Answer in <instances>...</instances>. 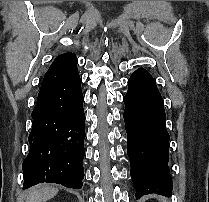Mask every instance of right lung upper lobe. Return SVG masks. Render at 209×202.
I'll return each instance as SVG.
<instances>
[{"mask_svg": "<svg viewBox=\"0 0 209 202\" xmlns=\"http://www.w3.org/2000/svg\"><path fill=\"white\" fill-rule=\"evenodd\" d=\"M62 56L66 57V59L70 61L72 69L76 71L77 70V58L75 54L66 53V54H62Z\"/></svg>", "mask_w": 209, "mask_h": 202, "instance_id": "obj_1", "label": "right lung upper lobe"}]
</instances>
